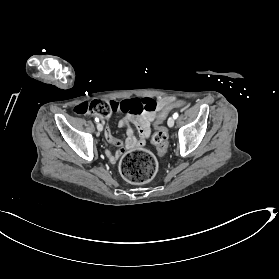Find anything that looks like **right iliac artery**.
I'll return each instance as SVG.
<instances>
[{"label":"right iliac artery","mask_w":279,"mask_h":279,"mask_svg":"<svg viewBox=\"0 0 279 279\" xmlns=\"http://www.w3.org/2000/svg\"><path fill=\"white\" fill-rule=\"evenodd\" d=\"M95 121H96V122H99V119H98V118H95Z\"/></svg>","instance_id":"obj_1"}]
</instances>
